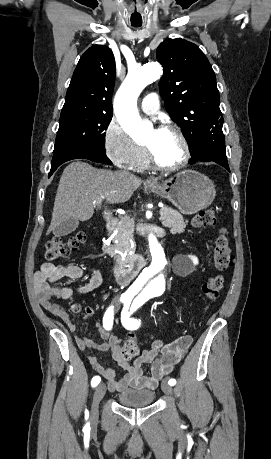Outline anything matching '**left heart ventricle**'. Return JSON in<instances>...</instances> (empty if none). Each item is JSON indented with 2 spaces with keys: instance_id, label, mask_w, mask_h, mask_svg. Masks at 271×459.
<instances>
[{
  "instance_id": "left-heart-ventricle-1",
  "label": "left heart ventricle",
  "mask_w": 271,
  "mask_h": 459,
  "mask_svg": "<svg viewBox=\"0 0 271 459\" xmlns=\"http://www.w3.org/2000/svg\"><path fill=\"white\" fill-rule=\"evenodd\" d=\"M163 161L171 162L177 160L181 155V144L179 140L168 131L152 129L144 142Z\"/></svg>"
}]
</instances>
